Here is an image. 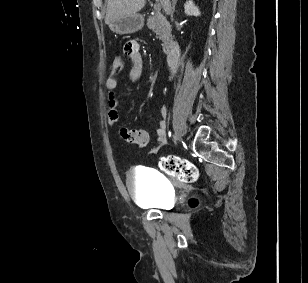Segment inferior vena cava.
I'll return each mask as SVG.
<instances>
[{"mask_svg":"<svg viewBox=\"0 0 308 283\" xmlns=\"http://www.w3.org/2000/svg\"><path fill=\"white\" fill-rule=\"evenodd\" d=\"M165 11H166L168 14H170V15H171V18H172V16H173V9H172V7H171L170 4L167 6V8H166ZM170 21H171V20H170Z\"/></svg>","mask_w":308,"mask_h":283,"instance_id":"602c4592","label":"inferior vena cava"}]
</instances>
